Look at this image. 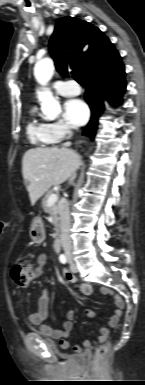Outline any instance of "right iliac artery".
<instances>
[{"mask_svg":"<svg viewBox=\"0 0 145 385\" xmlns=\"http://www.w3.org/2000/svg\"><path fill=\"white\" fill-rule=\"evenodd\" d=\"M59 260H60V262L63 263V264H65V263L67 262V258H66V256H65L64 254H61V255L59 256Z\"/></svg>","mask_w":145,"mask_h":385,"instance_id":"obj_1","label":"right iliac artery"}]
</instances>
